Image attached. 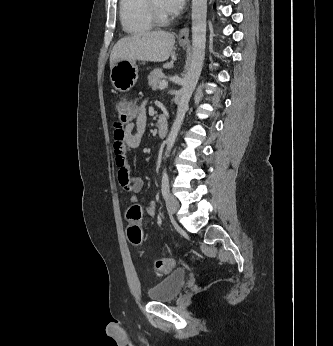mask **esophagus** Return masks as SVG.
<instances>
[{"instance_id": "esophagus-1", "label": "esophagus", "mask_w": 333, "mask_h": 346, "mask_svg": "<svg viewBox=\"0 0 333 346\" xmlns=\"http://www.w3.org/2000/svg\"><path fill=\"white\" fill-rule=\"evenodd\" d=\"M178 40L180 42H188L189 41V26L186 24L179 32Z\"/></svg>"}]
</instances>
